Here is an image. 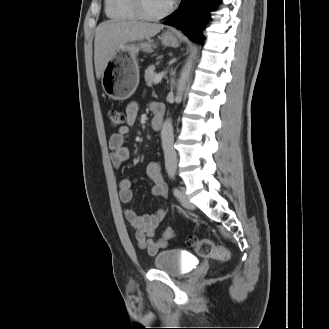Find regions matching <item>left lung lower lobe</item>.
Segmentation results:
<instances>
[{"label": "left lung lower lobe", "instance_id": "obj_1", "mask_svg": "<svg viewBox=\"0 0 329 329\" xmlns=\"http://www.w3.org/2000/svg\"><path fill=\"white\" fill-rule=\"evenodd\" d=\"M218 0H183L181 8L164 24L182 30L192 41L202 43L201 30Z\"/></svg>", "mask_w": 329, "mask_h": 329}]
</instances>
